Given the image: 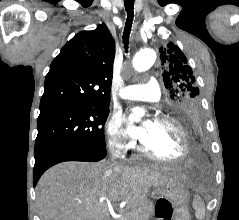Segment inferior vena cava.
<instances>
[{
  "mask_svg": "<svg viewBox=\"0 0 239 220\" xmlns=\"http://www.w3.org/2000/svg\"><path fill=\"white\" fill-rule=\"evenodd\" d=\"M111 161L115 163V156L114 155H112Z\"/></svg>",
  "mask_w": 239,
  "mask_h": 220,
  "instance_id": "inferior-vena-cava-1",
  "label": "inferior vena cava"
}]
</instances>
